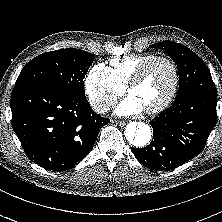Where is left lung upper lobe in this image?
Returning <instances> with one entry per match:
<instances>
[{"label":"left lung upper lobe","instance_id":"5c2ea615","mask_svg":"<svg viewBox=\"0 0 222 222\" xmlns=\"http://www.w3.org/2000/svg\"><path fill=\"white\" fill-rule=\"evenodd\" d=\"M152 47L165 48L177 65L180 82L175 99L195 93L217 96L208 67L193 51L172 41L155 43Z\"/></svg>","mask_w":222,"mask_h":222}]
</instances>
